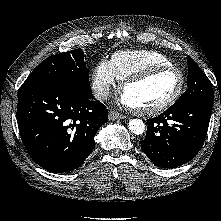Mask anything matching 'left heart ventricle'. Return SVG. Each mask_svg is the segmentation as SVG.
<instances>
[{"instance_id":"left-heart-ventricle-1","label":"left heart ventricle","mask_w":221,"mask_h":221,"mask_svg":"<svg viewBox=\"0 0 221 221\" xmlns=\"http://www.w3.org/2000/svg\"><path fill=\"white\" fill-rule=\"evenodd\" d=\"M179 74L175 71L158 73L142 82L128 86L123 98L136 108H147L170 98L179 86Z\"/></svg>"}]
</instances>
